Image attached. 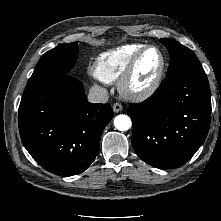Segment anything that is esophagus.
<instances>
[{
	"mask_svg": "<svg viewBox=\"0 0 221 221\" xmlns=\"http://www.w3.org/2000/svg\"><path fill=\"white\" fill-rule=\"evenodd\" d=\"M122 105L120 104V103H114V105H113V111L115 112V113H118V112H120L121 110H122Z\"/></svg>",
	"mask_w": 221,
	"mask_h": 221,
	"instance_id": "34e87169",
	"label": "esophagus"
}]
</instances>
